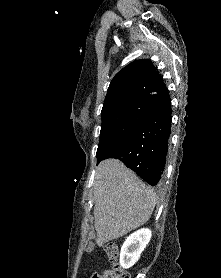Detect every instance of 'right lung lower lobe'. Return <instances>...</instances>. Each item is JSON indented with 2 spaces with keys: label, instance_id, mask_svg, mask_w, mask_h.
I'll use <instances>...</instances> for the list:
<instances>
[{
  "label": "right lung lower lobe",
  "instance_id": "1",
  "mask_svg": "<svg viewBox=\"0 0 221 278\" xmlns=\"http://www.w3.org/2000/svg\"><path fill=\"white\" fill-rule=\"evenodd\" d=\"M146 104L153 111L97 163L107 158L120 159L147 183L155 186L165 167L171 132V100L168 91L151 97Z\"/></svg>",
  "mask_w": 221,
  "mask_h": 278
}]
</instances>
